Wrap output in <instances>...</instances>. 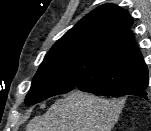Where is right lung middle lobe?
I'll use <instances>...</instances> for the list:
<instances>
[{"mask_svg": "<svg viewBox=\"0 0 151 131\" xmlns=\"http://www.w3.org/2000/svg\"><path fill=\"white\" fill-rule=\"evenodd\" d=\"M88 76L103 89L107 85L99 78L94 58L75 50L68 43L53 46L36 72L25 104H36L55 95L75 89V80Z\"/></svg>", "mask_w": 151, "mask_h": 131, "instance_id": "obj_1", "label": "right lung middle lobe"}]
</instances>
